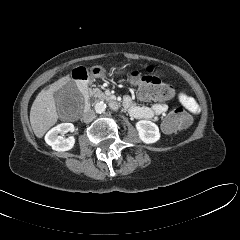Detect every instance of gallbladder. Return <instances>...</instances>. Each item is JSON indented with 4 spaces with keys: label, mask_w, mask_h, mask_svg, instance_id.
I'll return each mask as SVG.
<instances>
[{
    "label": "gallbladder",
    "mask_w": 240,
    "mask_h": 240,
    "mask_svg": "<svg viewBox=\"0 0 240 240\" xmlns=\"http://www.w3.org/2000/svg\"><path fill=\"white\" fill-rule=\"evenodd\" d=\"M53 96L60 116L74 112L81 104L80 94L72 81L55 91Z\"/></svg>",
    "instance_id": "bac80fb5"
}]
</instances>
